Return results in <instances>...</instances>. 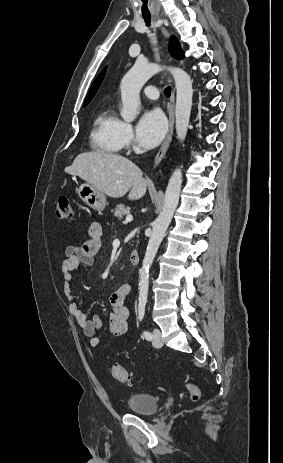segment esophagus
<instances>
[{
  "instance_id": "esophagus-1",
  "label": "esophagus",
  "mask_w": 283,
  "mask_h": 463,
  "mask_svg": "<svg viewBox=\"0 0 283 463\" xmlns=\"http://www.w3.org/2000/svg\"><path fill=\"white\" fill-rule=\"evenodd\" d=\"M167 21H161L160 23V30H161V33L163 35V37L165 39H168L169 38V32L167 31L166 27L167 26ZM174 107H175V95H174V90H172V93H171V97H170V101L168 103V107H167V110H168V118H169V126H168V131H167V134H166V137L155 157V161H154V166L153 168L156 169L160 162L162 161L163 157L165 156L166 154V151L169 147V144L171 142V139H172V135H173V129H174Z\"/></svg>"
}]
</instances>
